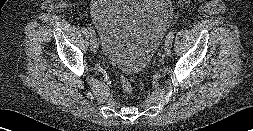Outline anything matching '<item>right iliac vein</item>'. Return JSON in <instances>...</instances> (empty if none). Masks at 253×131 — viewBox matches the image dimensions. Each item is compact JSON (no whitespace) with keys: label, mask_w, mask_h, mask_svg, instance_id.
<instances>
[{"label":"right iliac vein","mask_w":253,"mask_h":131,"mask_svg":"<svg viewBox=\"0 0 253 131\" xmlns=\"http://www.w3.org/2000/svg\"><path fill=\"white\" fill-rule=\"evenodd\" d=\"M91 40H94V41H95V44H94V45H91V51H92V52H96L97 49H98V42H97V38H96L95 34H92Z\"/></svg>","instance_id":"right-iliac-vein-1"}]
</instances>
